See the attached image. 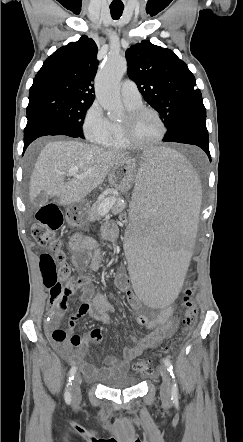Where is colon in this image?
<instances>
[{
	"label": "colon",
	"instance_id": "colon-1",
	"mask_svg": "<svg viewBox=\"0 0 243 442\" xmlns=\"http://www.w3.org/2000/svg\"><path fill=\"white\" fill-rule=\"evenodd\" d=\"M37 220L32 228V237L37 244L48 249V252L40 256V270L43 284L50 294V308L64 304L67 306V300L77 292L81 282L73 278L71 268L61 250V243L56 237V232L63 224V214L56 205L45 203L37 213ZM116 220L126 222V213H117ZM196 272L195 267L187 271L185 284L190 286L181 291L184 307L181 323L184 331L190 328L197 316L196 287L191 285ZM52 339L65 341L67 335L64 330L57 328L52 333ZM170 349L166 347L163 352L168 353ZM133 363L132 370L136 374L145 375L154 370V364L150 359L141 360L136 357Z\"/></svg>",
	"mask_w": 243,
	"mask_h": 442
}]
</instances>
